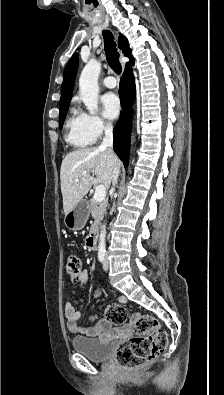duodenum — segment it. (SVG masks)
Masks as SVG:
<instances>
[{
    "label": "duodenum",
    "instance_id": "1",
    "mask_svg": "<svg viewBox=\"0 0 224 395\" xmlns=\"http://www.w3.org/2000/svg\"><path fill=\"white\" fill-rule=\"evenodd\" d=\"M97 237H98V226L94 224L86 239L87 247L90 250H95L97 248Z\"/></svg>",
    "mask_w": 224,
    "mask_h": 395
}]
</instances>
